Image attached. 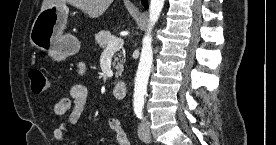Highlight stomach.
<instances>
[{
    "instance_id": "obj_1",
    "label": "stomach",
    "mask_w": 276,
    "mask_h": 145,
    "mask_svg": "<svg viewBox=\"0 0 276 145\" xmlns=\"http://www.w3.org/2000/svg\"><path fill=\"white\" fill-rule=\"evenodd\" d=\"M68 14L66 4H53L39 12L30 31L31 43L56 60L73 55L80 49V41L74 35L64 33Z\"/></svg>"
}]
</instances>
